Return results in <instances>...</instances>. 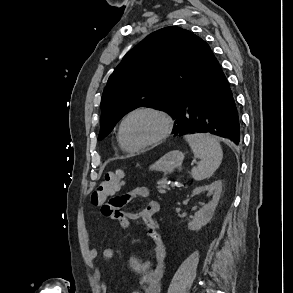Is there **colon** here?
I'll return each instance as SVG.
<instances>
[{"mask_svg":"<svg viewBox=\"0 0 293 293\" xmlns=\"http://www.w3.org/2000/svg\"><path fill=\"white\" fill-rule=\"evenodd\" d=\"M124 184V174L121 170H114L105 174L92 194V203L96 206L107 202L115 203L114 195Z\"/></svg>","mask_w":293,"mask_h":293,"instance_id":"5ec220e1","label":"colon"}]
</instances>
